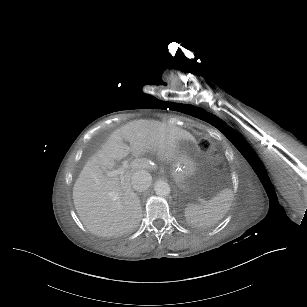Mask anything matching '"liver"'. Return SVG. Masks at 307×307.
<instances>
[{
    "label": "liver",
    "instance_id": "liver-1",
    "mask_svg": "<svg viewBox=\"0 0 307 307\" xmlns=\"http://www.w3.org/2000/svg\"><path fill=\"white\" fill-rule=\"evenodd\" d=\"M182 141L196 143L190 132L156 120H134L114 131L103 151L89 158L73 187L75 209L86 228L107 237L138 227L142 209L131 177L135 172L151 170L149 161L140 157L155 152L159 161L169 164L178 159ZM130 153L135 157L131 170L120 177L104 174Z\"/></svg>",
    "mask_w": 307,
    "mask_h": 307
}]
</instances>
